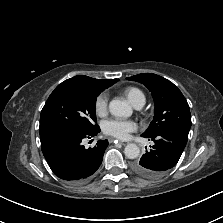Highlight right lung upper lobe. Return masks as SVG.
Listing matches in <instances>:
<instances>
[{
	"instance_id": "cb5924a9",
	"label": "right lung upper lobe",
	"mask_w": 223,
	"mask_h": 223,
	"mask_svg": "<svg viewBox=\"0 0 223 223\" xmlns=\"http://www.w3.org/2000/svg\"><path fill=\"white\" fill-rule=\"evenodd\" d=\"M118 79H94L84 75H78L73 78L67 79L59 85H77L90 88L106 89L116 83Z\"/></svg>"
}]
</instances>
